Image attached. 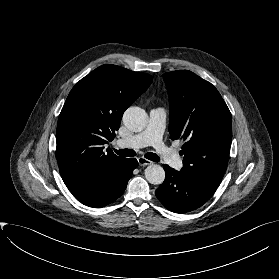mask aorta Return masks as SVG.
Returning a JSON list of instances; mask_svg holds the SVG:
<instances>
[{
	"label": "aorta",
	"instance_id": "1",
	"mask_svg": "<svg viewBox=\"0 0 279 279\" xmlns=\"http://www.w3.org/2000/svg\"><path fill=\"white\" fill-rule=\"evenodd\" d=\"M124 125L131 131L140 132L147 125V113L139 107L128 108L123 115ZM146 180L154 185H160L165 179L164 169L157 164L149 165L145 169Z\"/></svg>",
	"mask_w": 279,
	"mask_h": 279
}]
</instances>
